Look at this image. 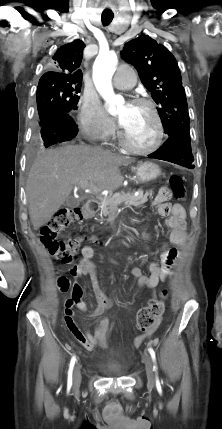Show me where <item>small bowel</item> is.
I'll return each instance as SVG.
<instances>
[{
    "label": "small bowel",
    "mask_w": 222,
    "mask_h": 429,
    "mask_svg": "<svg viewBox=\"0 0 222 429\" xmlns=\"http://www.w3.org/2000/svg\"><path fill=\"white\" fill-rule=\"evenodd\" d=\"M161 191L154 199V205L157 212L162 217H165V225L168 228L167 240L175 245H181L186 239V213L185 209L180 204L168 203L161 196ZM146 239L147 235L143 234ZM94 250L91 246L85 245L81 250V258L74 265L70 274L73 278L78 279L83 276H88L91 281L93 294L96 300V307L92 311H88L83 300L82 289L78 283L73 285V290L70 298L64 304V322L74 336L87 350H94L96 347L102 349L107 348V341L115 329V322L102 318L97 326L95 333L91 334L82 329L75 321V310L80 311L86 317H100L103 313L112 307L114 299L106 293L96 265L92 262ZM178 256V250L175 248H163L160 253V262H151L149 265V275L143 274L140 267H132L129 271L130 275L138 280V285L142 289L154 291L160 282L166 280L170 268ZM155 327L145 331L133 340L134 346L141 345L154 332Z\"/></svg>",
    "instance_id": "obj_1"
}]
</instances>
